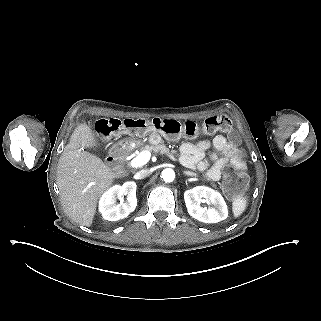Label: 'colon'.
Returning a JSON list of instances; mask_svg holds the SVG:
<instances>
[{
  "mask_svg": "<svg viewBox=\"0 0 321 321\" xmlns=\"http://www.w3.org/2000/svg\"><path fill=\"white\" fill-rule=\"evenodd\" d=\"M96 132L101 136H112L121 133L143 134L149 131H161L170 136L185 135L198 137L202 134L213 135L226 133L233 145L230 167L224 174L222 187L229 197L237 196L248 185V175L242 167L244 153L238 148L239 138L233 131L231 120L226 115H213L205 119L202 125L194 121L181 123L175 119H124L110 118L99 120L95 125Z\"/></svg>",
  "mask_w": 321,
  "mask_h": 321,
  "instance_id": "1",
  "label": "colon"
}]
</instances>
